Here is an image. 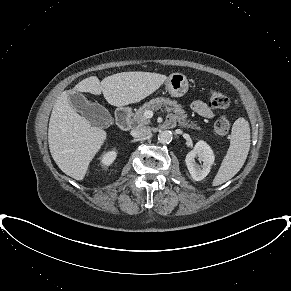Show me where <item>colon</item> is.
I'll return each mask as SVG.
<instances>
[{"label": "colon", "mask_w": 291, "mask_h": 291, "mask_svg": "<svg viewBox=\"0 0 291 291\" xmlns=\"http://www.w3.org/2000/svg\"><path fill=\"white\" fill-rule=\"evenodd\" d=\"M209 106L214 109H223L229 106V98L218 89L209 92ZM230 130V122L225 117L218 118L214 123V131L217 135L224 136Z\"/></svg>", "instance_id": "5ec220e1"}]
</instances>
